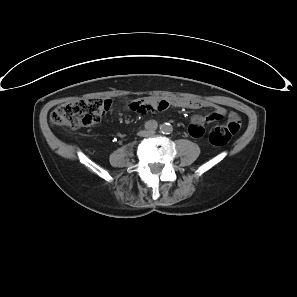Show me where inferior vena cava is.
<instances>
[{"instance_id":"1","label":"inferior vena cava","mask_w":297,"mask_h":297,"mask_svg":"<svg viewBox=\"0 0 297 297\" xmlns=\"http://www.w3.org/2000/svg\"><path fill=\"white\" fill-rule=\"evenodd\" d=\"M154 133V131H143L141 136H150Z\"/></svg>"}]
</instances>
